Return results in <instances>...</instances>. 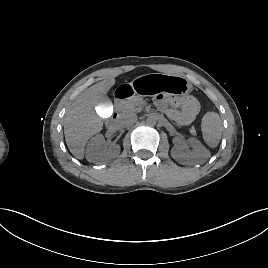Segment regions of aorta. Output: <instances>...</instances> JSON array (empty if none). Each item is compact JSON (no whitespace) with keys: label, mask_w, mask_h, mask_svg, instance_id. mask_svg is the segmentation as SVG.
<instances>
[{"label":"aorta","mask_w":268,"mask_h":268,"mask_svg":"<svg viewBox=\"0 0 268 268\" xmlns=\"http://www.w3.org/2000/svg\"><path fill=\"white\" fill-rule=\"evenodd\" d=\"M146 123L149 126H155L157 123V116L156 115H149L146 119Z\"/></svg>","instance_id":"aorta-1"}]
</instances>
